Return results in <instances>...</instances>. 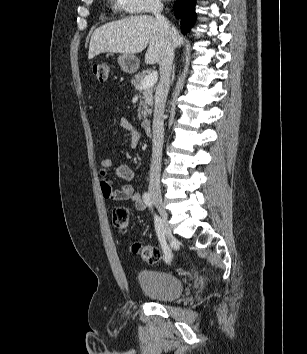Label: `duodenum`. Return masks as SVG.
<instances>
[{
    "mask_svg": "<svg viewBox=\"0 0 307 354\" xmlns=\"http://www.w3.org/2000/svg\"><path fill=\"white\" fill-rule=\"evenodd\" d=\"M141 126L147 135L152 134V121L150 119H144Z\"/></svg>",
    "mask_w": 307,
    "mask_h": 354,
    "instance_id": "1",
    "label": "duodenum"
}]
</instances>
